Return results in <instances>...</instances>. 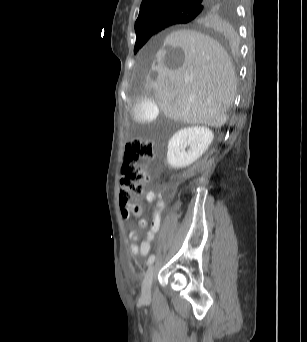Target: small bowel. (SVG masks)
I'll return each instance as SVG.
<instances>
[{
  "instance_id": "c3829d8e",
  "label": "small bowel",
  "mask_w": 307,
  "mask_h": 342,
  "mask_svg": "<svg viewBox=\"0 0 307 342\" xmlns=\"http://www.w3.org/2000/svg\"><path fill=\"white\" fill-rule=\"evenodd\" d=\"M145 198L148 202L155 201L152 225L147 231V238L139 246L134 243L139 239V236H140L139 230H142L146 228L147 226V222L144 219H141L139 221L138 229H132L129 233V238L132 241V244L130 245V250L134 255H138V256H145L149 252L151 242L159 231L160 215L165 205L162 197L153 191H148L145 195ZM133 210L136 214H139L141 212V206H136L133 208ZM124 215L127 217L129 215V211L125 213Z\"/></svg>"
}]
</instances>
